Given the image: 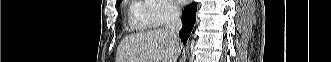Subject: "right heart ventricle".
I'll return each mask as SVG.
<instances>
[{
	"label": "right heart ventricle",
	"instance_id": "1",
	"mask_svg": "<svg viewBox=\"0 0 331 62\" xmlns=\"http://www.w3.org/2000/svg\"><path fill=\"white\" fill-rule=\"evenodd\" d=\"M148 16L147 10L143 5H133L130 9V17L136 22L141 29L147 28L146 18Z\"/></svg>",
	"mask_w": 331,
	"mask_h": 62
}]
</instances>
